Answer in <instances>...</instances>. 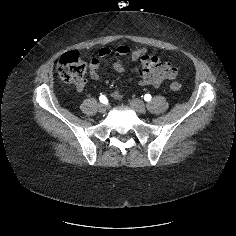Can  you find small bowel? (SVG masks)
<instances>
[{
    "label": "small bowel",
    "mask_w": 236,
    "mask_h": 236,
    "mask_svg": "<svg viewBox=\"0 0 236 236\" xmlns=\"http://www.w3.org/2000/svg\"><path fill=\"white\" fill-rule=\"evenodd\" d=\"M111 54L109 48H102L99 56L93 58L89 63V73L93 80H100L99 73L100 60ZM116 56H128L130 62L139 61L141 68L136 69L137 76L136 84L139 86H154L159 87L164 80L173 79L177 75V68L170 63L162 61L158 56L151 54L146 48L139 47L130 49L128 46H119L115 51ZM126 69V65L122 61H118L114 66L115 72H122ZM84 84L77 86L78 90H83ZM115 97H119L117 93Z\"/></svg>",
    "instance_id": "1"
}]
</instances>
